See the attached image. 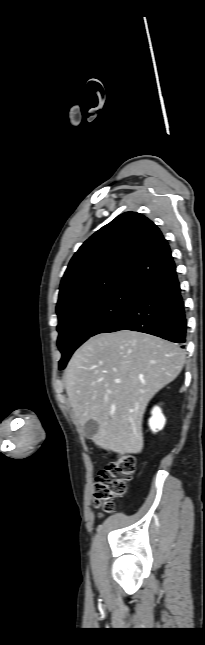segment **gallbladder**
<instances>
[{"label":"gallbladder","instance_id":"gallbladder-1","mask_svg":"<svg viewBox=\"0 0 205 645\" xmlns=\"http://www.w3.org/2000/svg\"><path fill=\"white\" fill-rule=\"evenodd\" d=\"M85 437L91 439L98 431L99 424L95 420H89L83 427Z\"/></svg>","mask_w":205,"mask_h":645}]
</instances>
